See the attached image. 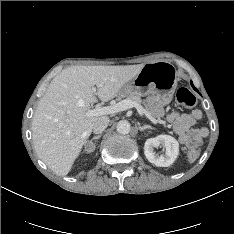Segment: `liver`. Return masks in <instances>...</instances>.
<instances>
[{"mask_svg":"<svg viewBox=\"0 0 234 234\" xmlns=\"http://www.w3.org/2000/svg\"><path fill=\"white\" fill-rule=\"evenodd\" d=\"M142 67L76 65L51 81L35 111L32 133L37 155L54 173L67 175L89 138L100 117L87 115L95 95L103 102L113 99Z\"/></svg>","mask_w":234,"mask_h":234,"instance_id":"6515ba94","label":"liver"}]
</instances>
